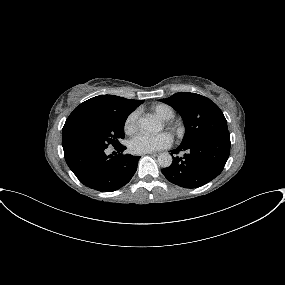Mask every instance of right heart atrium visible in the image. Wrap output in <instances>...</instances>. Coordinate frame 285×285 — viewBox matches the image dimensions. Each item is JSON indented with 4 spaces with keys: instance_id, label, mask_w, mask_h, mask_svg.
Here are the masks:
<instances>
[{
    "instance_id": "obj_1",
    "label": "right heart atrium",
    "mask_w": 285,
    "mask_h": 285,
    "mask_svg": "<svg viewBox=\"0 0 285 285\" xmlns=\"http://www.w3.org/2000/svg\"><path fill=\"white\" fill-rule=\"evenodd\" d=\"M138 128V112L133 111L129 114L125 121L124 129L128 134L133 133Z\"/></svg>"
}]
</instances>
